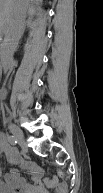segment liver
<instances>
[{"label":"liver","mask_w":103,"mask_h":193,"mask_svg":"<svg viewBox=\"0 0 103 193\" xmlns=\"http://www.w3.org/2000/svg\"><path fill=\"white\" fill-rule=\"evenodd\" d=\"M26 5L25 0H0V29L5 38L10 33L16 14Z\"/></svg>","instance_id":"obj_1"}]
</instances>
